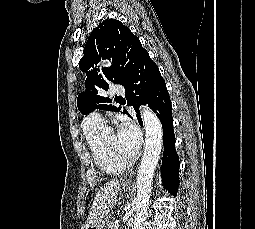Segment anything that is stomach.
I'll list each match as a JSON object with an SVG mask.
<instances>
[{
  "instance_id": "obj_1",
  "label": "stomach",
  "mask_w": 255,
  "mask_h": 229,
  "mask_svg": "<svg viewBox=\"0 0 255 229\" xmlns=\"http://www.w3.org/2000/svg\"><path fill=\"white\" fill-rule=\"evenodd\" d=\"M123 190L124 192H130L131 188L123 186ZM108 222V218H104L100 222L90 225L87 229H106Z\"/></svg>"
}]
</instances>
